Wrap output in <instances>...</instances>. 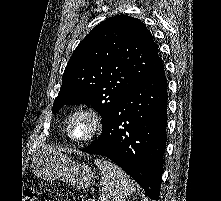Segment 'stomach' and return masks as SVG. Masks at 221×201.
I'll use <instances>...</instances> for the list:
<instances>
[{"mask_svg": "<svg viewBox=\"0 0 221 201\" xmlns=\"http://www.w3.org/2000/svg\"><path fill=\"white\" fill-rule=\"evenodd\" d=\"M32 172L45 180L62 179L77 188H87L94 176L92 169L76 163L55 150H44L36 154L31 162Z\"/></svg>", "mask_w": 221, "mask_h": 201, "instance_id": "stomach-1", "label": "stomach"}]
</instances>
